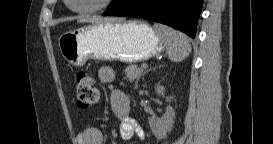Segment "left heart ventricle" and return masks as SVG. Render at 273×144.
I'll list each match as a JSON object with an SVG mask.
<instances>
[{
	"label": "left heart ventricle",
	"mask_w": 273,
	"mask_h": 144,
	"mask_svg": "<svg viewBox=\"0 0 273 144\" xmlns=\"http://www.w3.org/2000/svg\"><path fill=\"white\" fill-rule=\"evenodd\" d=\"M100 0H72V5L77 8H87L96 5Z\"/></svg>",
	"instance_id": "left-heart-ventricle-1"
}]
</instances>
